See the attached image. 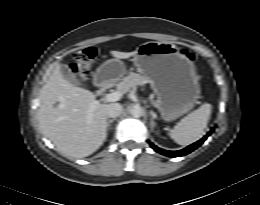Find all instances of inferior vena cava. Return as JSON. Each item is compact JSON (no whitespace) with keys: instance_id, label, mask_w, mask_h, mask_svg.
Masks as SVG:
<instances>
[{"instance_id":"602c4592","label":"inferior vena cava","mask_w":260,"mask_h":205,"mask_svg":"<svg viewBox=\"0 0 260 205\" xmlns=\"http://www.w3.org/2000/svg\"><path fill=\"white\" fill-rule=\"evenodd\" d=\"M122 109L123 108L121 104L111 103L107 106V110H106L107 116L112 118L118 117L122 112Z\"/></svg>"}]
</instances>
